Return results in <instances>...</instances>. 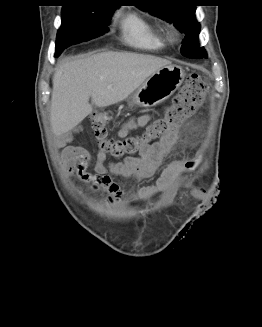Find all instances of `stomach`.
<instances>
[{"label":"stomach","instance_id":"1","mask_svg":"<svg viewBox=\"0 0 262 327\" xmlns=\"http://www.w3.org/2000/svg\"><path fill=\"white\" fill-rule=\"evenodd\" d=\"M185 72L178 65H166L138 87L130 97V103L139 107H154L167 100L182 84Z\"/></svg>","mask_w":262,"mask_h":327}]
</instances>
